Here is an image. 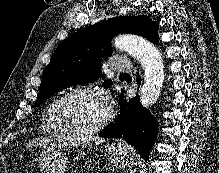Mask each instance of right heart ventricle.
<instances>
[{"mask_svg":"<svg viewBox=\"0 0 219 173\" xmlns=\"http://www.w3.org/2000/svg\"><path fill=\"white\" fill-rule=\"evenodd\" d=\"M60 96L53 98L44 113V132L54 136H64L66 133L58 126L55 119V107Z\"/></svg>","mask_w":219,"mask_h":173,"instance_id":"e07e8e85","label":"right heart ventricle"}]
</instances>
